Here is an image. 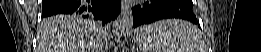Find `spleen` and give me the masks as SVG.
Segmentation results:
<instances>
[{"instance_id":"3e777b00","label":"spleen","mask_w":261,"mask_h":52,"mask_svg":"<svg viewBox=\"0 0 261 52\" xmlns=\"http://www.w3.org/2000/svg\"><path fill=\"white\" fill-rule=\"evenodd\" d=\"M140 30L142 52H204L197 28L187 21L167 19Z\"/></svg>"}]
</instances>
